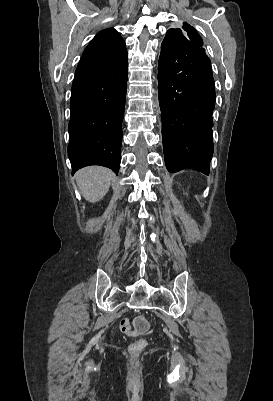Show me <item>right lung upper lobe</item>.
Segmentation results:
<instances>
[{"label":"right lung upper lobe","instance_id":"1","mask_svg":"<svg viewBox=\"0 0 273 401\" xmlns=\"http://www.w3.org/2000/svg\"><path fill=\"white\" fill-rule=\"evenodd\" d=\"M125 41L113 28L100 31L85 48L73 82L99 74L127 58Z\"/></svg>","mask_w":273,"mask_h":401}]
</instances>
